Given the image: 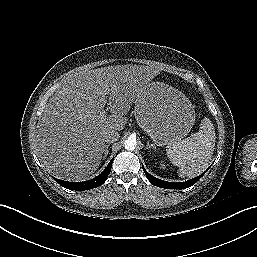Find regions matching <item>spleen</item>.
I'll return each mask as SVG.
<instances>
[{
    "instance_id": "obj_1",
    "label": "spleen",
    "mask_w": 257,
    "mask_h": 257,
    "mask_svg": "<svg viewBox=\"0 0 257 257\" xmlns=\"http://www.w3.org/2000/svg\"><path fill=\"white\" fill-rule=\"evenodd\" d=\"M215 139L212 122L204 118L198 132L167 147V157L174 166L179 168L180 177L192 178L208 168L215 147Z\"/></svg>"
}]
</instances>
